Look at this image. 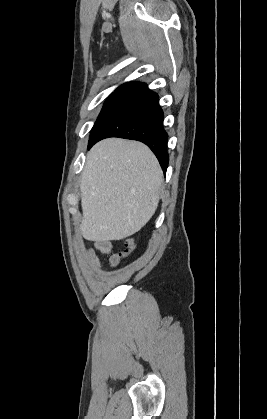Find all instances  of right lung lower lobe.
<instances>
[{
  "mask_svg": "<svg viewBox=\"0 0 267 419\" xmlns=\"http://www.w3.org/2000/svg\"><path fill=\"white\" fill-rule=\"evenodd\" d=\"M163 117L158 95L143 84L104 116L89 141L88 149L108 137L141 141L153 151L166 173L168 135L163 129Z\"/></svg>",
  "mask_w": 267,
  "mask_h": 419,
  "instance_id": "right-lung-lower-lobe-1",
  "label": "right lung lower lobe"
}]
</instances>
